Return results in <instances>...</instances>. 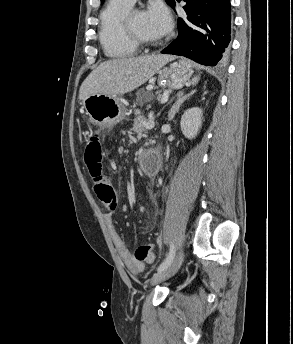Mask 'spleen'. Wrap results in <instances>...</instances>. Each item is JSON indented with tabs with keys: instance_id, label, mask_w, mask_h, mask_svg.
I'll use <instances>...</instances> for the list:
<instances>
[{
	"instance_id": "1",
	"label": "spleen",
	"mask_w": 293,
	"mask_h": 344,
	"mask_svg": "<svg viewBox=\"0 0 293 344\" xmlns=\"http://www.w3.org/2000/svg\"><path fill=\"white\" fill-rule=\"evenodd\" d=\"M198 81H199V77H194L192 79V85H195L196 83H198Z\"/></svg>"
}]
</instances>
